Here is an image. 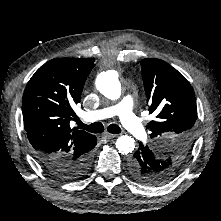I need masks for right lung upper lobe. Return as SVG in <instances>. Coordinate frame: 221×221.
<instances>
[{"label": "right lung upper lobe", "instance_id": "1", "mask_svg": "<svg viewBox=\"0 0 221 221\" xmlns=\"http://www.w3.org/2000/svg\"><path fill=\"white\" fill-rule=\"evenodd\" d=\"M90 58H55L29 80L22 100L23 119L35 155L70 161L89 152L96 137L70 128L72 105L80 96L90 71Z\"/></svg>", "mask_w": 221, "mask_h": 221}]
</instances>
